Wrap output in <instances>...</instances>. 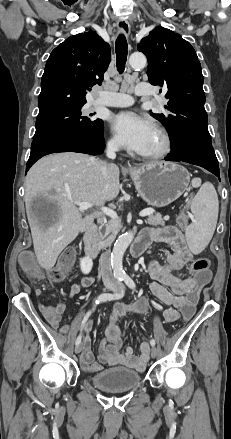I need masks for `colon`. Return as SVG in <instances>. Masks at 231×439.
Returning <instances> with one entry per match:
<instances>
[{
  "label": "colon",
  "mask_w": 231,
  "mask_h": 439,
  "mask_svg": "<svg viewBox=\"0 0 231 439\" xmlns=\"http://www.w3.org/2000/svg\"><path fill=\"white\" fill-rule=\"evenodd\" d=\"M189 222L188 215L186 213H181L177 218V224L180 228L184 229L187 227ZM75 261V250L73 248H66L57 263L49 272V278L53 282L63 281L74 265ZM20 266L24 272L33 278H40L41 271L37 266L34 256L30 252H23L19 258ZM191 271L193 273V279L197 284L194 287H190L187 291V297L183 299V302L179 304V315L181 320L185 323L194 320L197 302L199 301V296L205 291L207 285H211L212 282V271L210 270V260L201 257L196 259L192 266ZM42 318L44 320H51L55 317L54 307L43 306ZM125 312V307L122 305H117L113 317L119 319Z\"/></svg>",
  "instance_id": "1"
}]
</instances>
